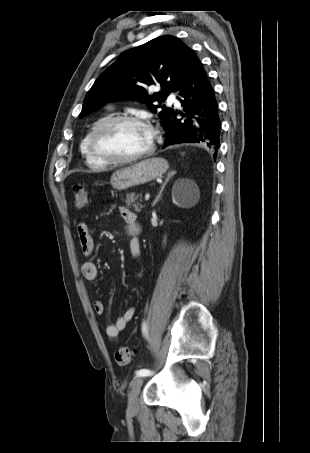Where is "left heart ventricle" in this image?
<instances>
[{
    "instance_id": "left-heart-ventricle-1",
    "label": "left heart ventricle",
    "mask_w": 310,
    "mask_h": 453,
    "mask_svg": "<svg viewBox=\"0 0 310 453\" xmlns=\"http://www.w3.org/2000/svg\"><path fill=\"white\" fill-rule=\"evenodd\" d=\"M149 130L139 124L120 123L102 133L98 139L100 150L116 158L135 155L149 147Z\"/></svg>"
}]
</instances>
